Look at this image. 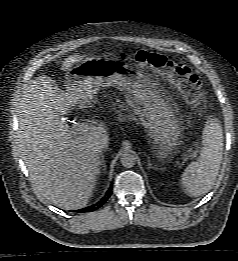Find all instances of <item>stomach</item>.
I'll use <instances>...</instances> for the list:
<instances>
[{"instance_id":"0dacf381","label":"stomach","mask_w":238,"mask_h":261,"mask_svg":"<svg viewBox=\"0 0 238 261\" xmlns=\"http://www.w3.org/2000/svg\"><path fill=\"white\" fill-rule=\"evenodd\" d=\"M65 84L76 104L85 108L93 106L100 87L116 86L126 91L159 155H171L178 145L182 123L177 107L152 79L133 67L109 60H85L68 70Z\"/></svg>"}]
</instances>
